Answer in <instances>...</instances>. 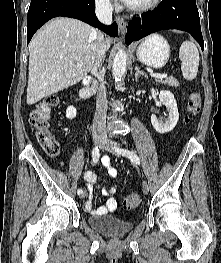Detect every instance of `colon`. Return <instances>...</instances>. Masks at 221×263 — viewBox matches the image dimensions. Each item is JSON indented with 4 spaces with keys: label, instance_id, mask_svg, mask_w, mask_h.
Wrapping results in <instances>:
<instances>
[{
    "label": "colon",
    "instance_id": "5ec220e1",
    "mask_svg": "<svg viewBox=\"0 0 221 263\" xmlns=\"http://www.w3.org/2000/svg\"><path fill=\"white\" fill-rule=\"evenodd\" d=\"M58 103V97H49L39 103L29 115L30 123L39 141L46 147L51 155H56L58 153V146L49 133L51 126V110ZM188 110L191 117L196 116L200 111V99L196 93H192L190 96ZM123 204L126 209H134L140 204V196L137 193H131L125 197Z\"/></svg>",
    "mask_w": 221,
    "mask_h": 263
}]
</instances>
